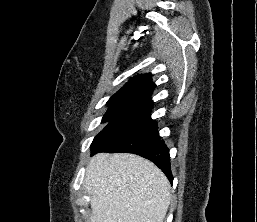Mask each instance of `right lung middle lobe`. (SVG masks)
<instances>
[{
	"label": "right lung middle lobe",
	"instance_id": "1",
	"mask_svg": "<svg viewBox=\"0 0 257 222\" xmlns=\"http://www.w3.org/2000/svg\"><path fill=\"white\" fill-rule=\"evenodd\" d=\"M109 109L102 118L108 125L94 138L91 149L114 141L150 119L152 103L138 100L108 102Z\"/></svg>",
	"mask_w": 257,
	"mask_h": 222
}]
</instances>
